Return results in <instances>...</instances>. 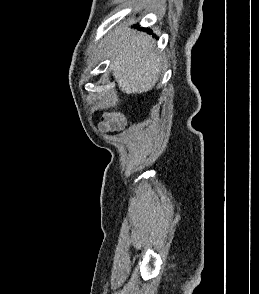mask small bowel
<instances>
[{"label":"small bowel","instance_id":"obj_1","mask_svg":"<svg viewBox=\"0 0 259 294\" xmlns=\"http://www.w3.org/2000/svg\"><path fill=\"white\" fill-rule=\"evenodd\" d=\"M126 124L124 116L120 113L107 112L99 122V129L103 132L121 131Z\"/></svg>","mask_w":259,"mask_h":294}]
</instances>
